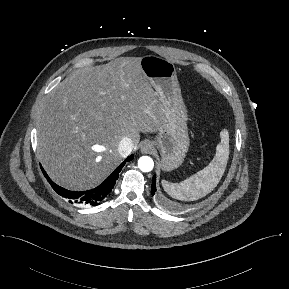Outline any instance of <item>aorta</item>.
I'll return each instance as SVG.
<instances>
[{"mask_svg":"<svg viewBox=\"0 0 289 289\" xmlns=\"http://www.w3.org/2000/svg\"><path fill=\"white\" fill-rule=\"evenodd\" d=\"M138 167L143 172H150L154 167L153 159L149 156H142L138 160Z\"/></svg>","mask_w":289,"mask_h":289,"instance_id":"762f6f07","label":"aorta"}]
</instances>
